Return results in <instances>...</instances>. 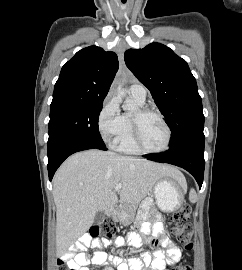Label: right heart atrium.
<instances>
[{
  "mask_svg": "<svg viewBox=\"0 0 242 270\" xmlns=\"http://www.w3.org/2000/svg\"><path fill=\"white\" fill-rule=\"evenodd\" d=\"M97 125L103 140L114 144L122 128V115L117 99L109 94L99 112Z\"/></svg>",
  "mask_w": 242,
  "mask_h": 270,
  "instance_id": "obj_1",
  "label": "right heart atrium"
}]
</instances>
